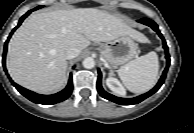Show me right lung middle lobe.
<instances>
[{
	"label": "right lung middle lobe",
	"mask_w": 194,
	"mask_h": 133,
	"mask_svg": "<svg viewBox=\"0 0 194 133\" xmlns=\"http://www.w3.org/2000/svg\"><path fill=\"white\" fill-rule=\"evenodd\" d=\"M41 7H43V6H38V7L34 8L33 10H37V9H39V8H41Z\"/></svg>",
	"instance_id": "1"
}]
</instances>
